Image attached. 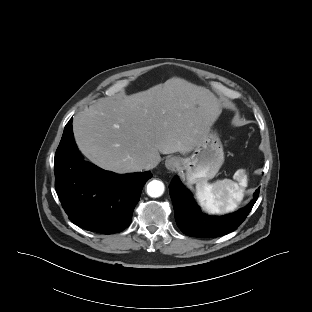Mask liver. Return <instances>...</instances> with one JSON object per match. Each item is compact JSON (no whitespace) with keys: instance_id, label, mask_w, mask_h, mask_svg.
Here are the masks:
<instances>
[{"instance_id":"1","label":"liver","mask_w":312,"mask_h":312,"mask_svg":"<svg viewBox=\"0 0 312 312\" xmlns=\"http://www.w3.org/2000/svg\"><path fill=\"white\" fill-rule=\"evenodd\" d=\"M221 113L210 90L174 77L121 100L99 99L75 116L73 132L89 161L125 174L159 163L160 154L191 152Z\"/></svg>"}]
</instances>
